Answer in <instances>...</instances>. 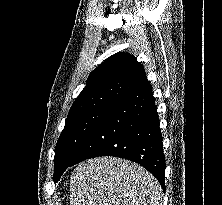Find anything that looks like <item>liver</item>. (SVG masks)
Returning <instances> with one entry per match:
<instances>
[{"mask_svg": "<svg viewBox=\"0 0 222 205\" xmlns=\"http://www.w3.org/2000/svg\"><path fill=\"white\" fill-rule=\"evenodd\" d=\"M70 205H162V190L142 166L115 157H98L74 169Z\"/></svg>", "mask_w": 222, "mask_h": 205, "instance_id": "liver-1", "label": "liver"}]
</instances>
